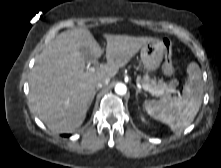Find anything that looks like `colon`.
<instances>
[{
  "mask_svg": "<svg viewBox=\"0 0 221 168\" xmlns=\"http://www.w3.org/2000/svg\"><path fill=\"white\" fill-rule=\"evenodd\" d=\"M165 45V59H164V65L163 70L164 73L171 77V88L173 90H178L180 88V83L177 81V78L175 76V67L173 65L172 61V43L166 39L164 40Z\"/></svg>",
  "mask_w": 221,
  "mask_h": 168,
  "instance_id": "colon-1",
  "label": "colon"
}]
</instances>
